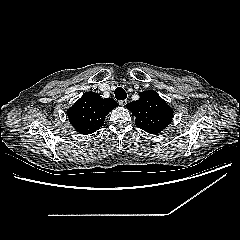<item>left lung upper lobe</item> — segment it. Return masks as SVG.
<instances>
[{
  "instance_id": "left-lung-upper-lobe-1",
  "label": "left lung upper lobe",
  "mask_w": 240,
  "mask_h": 240,
  "mask_svg": "<svg viewBox=\"0 0 240 240\" xmlns=\"http://www.w3.org/2000/svg\"><path fill=\"white\" fill-rule=\"evenodd\" d=\"M139 96V100L127 104L136 117V126L150 134L160 133L172 120V108L155 91H144Z\"/></svg>"
}]
</instances>
